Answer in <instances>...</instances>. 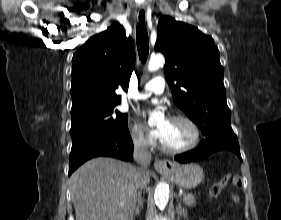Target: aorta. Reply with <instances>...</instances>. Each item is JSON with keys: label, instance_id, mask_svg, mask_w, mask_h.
<instances>
[{"label": "aorta", "instance_id": "1", "mask_svg": "<svg viewBox=\"0 0 281 220\" xmlns=\"http://www.w3.org/2000/svg\"><path fill=\"white\" fill-rule=\"evenodd\" d=\"M164 57L161 54L151 56L148 63V70L153 72L158 70L164 64ZM158 112H151L148 120L149 125H153L158 117ZM154 199L157 207L163 210L168 204L169 200V187L166 183L161 182L155 188Z\"/></svg>", "mask_w": 281, "mask_h": 220}]
</instances>
